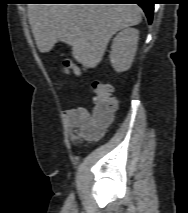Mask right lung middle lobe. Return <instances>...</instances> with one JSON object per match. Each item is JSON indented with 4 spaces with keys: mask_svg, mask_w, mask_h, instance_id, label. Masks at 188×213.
I'll return each instance as SVG.
<instances>
[{
    "mask_svg": "<svg viewBox=\"0 0 188 213\" xmlns=\"http://www.w3.org/2000/svg\"><path fill=\"white\" fill-rule=\"evenodd\" d=\"M32 2H44L45 0H31Z\"/></svg>",
    "mask_w": 188,
    "mask_h": 213,
    "instance_id": "dd1d6c3e",
    "label": "right lung middle lobe"
}]
</instances>
